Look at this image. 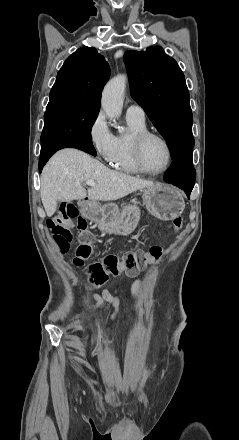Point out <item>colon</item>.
<instances>
[{"mask_svg": "<svg viewBox=\"0 0 239 440\" xmlns=\"http://www.w3.org/2000/svg\"><path fill=\"white\" fill-rule=\"evenodd\" d=\"M77 220L78 245L75 251L73 263L82 266L90 258L93 252L95 236L88 229L85 219L78 215L77 209L72 202L65 203L59 215L47 221V227L60 252L68 250L73 240L71 221ZM182 219L175 218L172 222L174 230L182 227ZM162 255V249L158 246L151 247L148 251L138 250L128 253L123 259L114 256L105 257L103 260L93 263L88 267V282L94 286L105 284L111 277L125 272L129 275L138 273L148 264L157 262Z\"/></svg>", "mask_w": 239, "mask_h": 440, "instance_id": "5ec220e1", "label": "colon"}]
</instances>
